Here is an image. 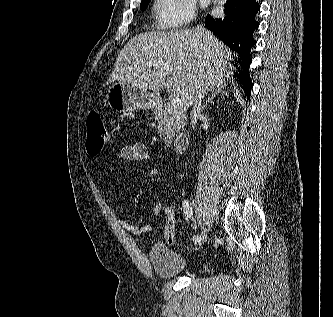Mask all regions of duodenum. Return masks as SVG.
Instances as JSON below:
<instances>
[{
    "instance_id": "obj_1",
    "label": "duodenum",
    "mask_w": 333,
    "mask_h": 317,
    "mask_svg": "<svg viewBox=\"0 0 333 317\" xmlns=\"http://www.w3.org/2000/svg\"><path fill=\"white\" fill-rule=\"evenodd\" d=\"M152 101L156 105L162 103L161 97L158 96H154ZM188 145H189V135L186 132H181L173 139L172 148L174 153L180 155L187 150Z\"/></svg>"
}]
</instances>
